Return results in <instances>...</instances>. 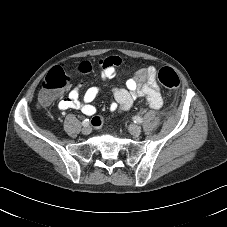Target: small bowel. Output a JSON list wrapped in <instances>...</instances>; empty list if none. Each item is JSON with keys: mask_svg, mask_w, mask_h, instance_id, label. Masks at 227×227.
Masks as SVG:
<instances>
[{"mask_svg": "<svg viewBox=\"0 0 227 227\" xmlns=\"http://www.w3.org/2000/svg\"><path fill=\"white\" fill-rule=\"evenodd\" d=\"M101 69V78L107 81L114 77L121 60L116 56H107L101 58L98 62ZM86 82H79L67 95L58 103L60 110L80 109L86 116H93L96 108L92 104L97 98L100 88L91 86L86 89L80 99L82 88ZM112 93L114 101L109 108L111 111H126L137 97H144L148 105L153 109H159L162 106V97L160 89L156 82V69L152 66L139 70L135 77L126 81V88L113 87Z\"/></svg>", "mask_w": 227, "mask_h": 227, "instance_id": "c3829d8e", "label": "small bowel"}]
</instances>
